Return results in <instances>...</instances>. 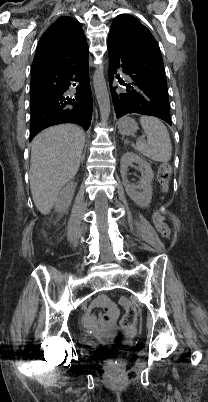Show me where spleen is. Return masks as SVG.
<instances>
[{
	"label": "spleen",
	"mask_w": 208,
	"mask_h": 402,
	"mask_svg": "<svg viewBox=\"0 0 208 402\" xmlns=\"http://www.w3.org/2000/svg\"><path fill=\"white\" fill-rule=\"evenodd\" d=\"M140 124L147 136V142L138 140L134 146L136 152L154 160V162L167 164L171 160L172 144L166 126L153 116H142Z\"/></svg>",
	"instance_id": "1"
}]
</instances>
